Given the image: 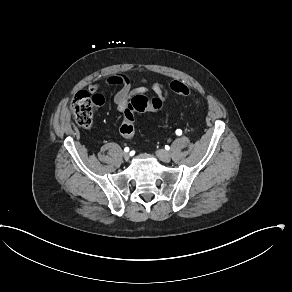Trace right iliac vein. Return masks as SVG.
Listing matches in <instances>:
<instances>
[{"label": "right iliac vein", "mask_w": 292, "mask_h": 292, "mask_svg": "<svg viewBox=\"0 0 292 292\" xmlns=\"http://www.w3.org/2000/svg\"><path fill=\"white\" fill-rule=\"evenodd\" d=\"M129 157H130V155H129V153L128 152H124L123 153V158H124V160H128L129 159Z\"/></svg>", "instance_id": "1"}]
</instances>
